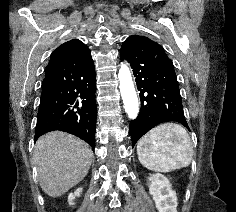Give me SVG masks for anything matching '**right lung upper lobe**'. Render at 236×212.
<instances>
[{
    "label": "right lung upper lobe",
    "instance_id": "right-lung-upper-lobe-1",
    "mask_svg": "<svg viewBox=\"0 0 236 212\" xmlns=\"http://www.w3.org/2000/svg\"><path fill=\"white\" fill-rule=\"evenodd\" d=\"M85 46L80 40L72 39L60 45L52 54L48 65L64 59ZM47 65V66H48Z\"/></svg>",
    "mask_w": 236,
    "mask_h": 212
}]
</instances>
